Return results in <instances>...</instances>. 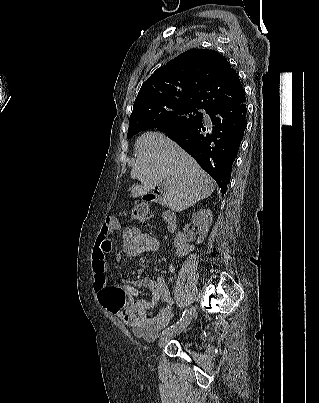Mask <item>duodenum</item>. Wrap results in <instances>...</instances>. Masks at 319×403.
Segmentation results:
<instances>
[{
    "instance_id": "410a0bca",
    "label": "duodenum",
    "mask_w": 319,
    "mask_h": 403,
    "mask_svg": "<svg viewBox=\"0 0 319 403\" xmlns=\"http://www.w3.org/2000/svg\"><path fill=\"white\" fill-rule=\"evenodd\" d=\"M144 203L138 208V214L144 215L147 212V203L149 202H161V196L159 194H150L143 197ZM164 220L166 228L169 233H172L176 229V214L173 210L166 208L164 211Z\"/></svg>"
}]
</instances>
